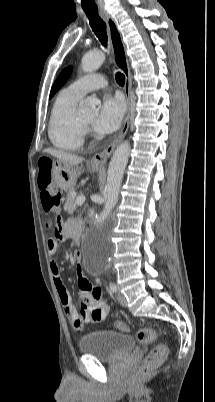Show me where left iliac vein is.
Listing matches in <instances>:
<instances>
[{"label":"left iliac vein","instance_id":"4c4485c4","mask_svg":"<svg viewBox=\"0 0 215 402\" xmlns=\"http://www.w3.org/2000/svg\"><path fill=\"white\" fill-rule=\"evenodd\" d=\"M117 300L120 305L127 306L126 297L122 293H120V292L117 293Z\"/></svg>","mask_w":215,"mask_h":402}]
</instances>
